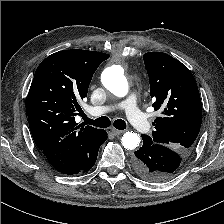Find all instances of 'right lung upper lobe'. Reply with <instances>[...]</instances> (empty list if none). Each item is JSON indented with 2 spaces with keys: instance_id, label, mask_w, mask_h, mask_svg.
Segmentation results:
<instances>
[{
  "instance_id": "1",
  "label": "right lung upper lobe",
  "mask_w": 224,
  "mask_h": 224,
  "mask_svg": "<svg viewBox=\"0 0 224 224\" xmlns=\"http://www.w3.org/2000/svg\"><path fill=\"white\" fill-rule=\"evenodd\" d=\"M108 54L70 49L48 56L38 66L27 102L29 127L36 146L59 172L81 166L103 130L75 122L78 100L87 96L92 76Z\"/></svg>"
}]
</instances>
